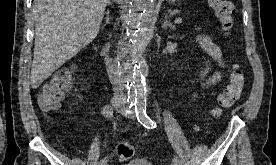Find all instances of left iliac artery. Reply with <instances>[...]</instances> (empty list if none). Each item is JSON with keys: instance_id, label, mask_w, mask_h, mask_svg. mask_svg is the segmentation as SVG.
Wrapping results in <instances>:
<instances>
[{"instance_id": "left-iliac-artery-1", "label": "left iliac artery", "mask_w": 276, "mask_h": 165, "mask_svg": "<svg viewBox=\"0 0 276 165\" xmlns=\"http://www.w3.org/2000/svg\"><path fill=\"white\" fill-rule=\"evenodd\" d=\"M135 112L138 121L146 128L153 129L156 127V123L146 113V101L138 100L135 104ZM173 165H181V162L177 156L173 158Z\"/></svg>"}]
</instances>
